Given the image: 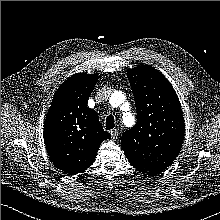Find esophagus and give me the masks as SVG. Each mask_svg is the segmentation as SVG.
Segmentation results:
<instances>
[{"label":"esophagus","instance_id":"34e87169","mask_svg":"<svg viewBox=\"0 0 220 220\" xmlns=\"http://www.w3.org/2000/svg\"><path fill=\"white\" fill-rule=\"evenodd\" d=\"M111 138L113 140H116L118 138L119 132L117 129H112L110 130Z\"/></svg>","mask_w":220,"mask_h":220}]
</instances>
